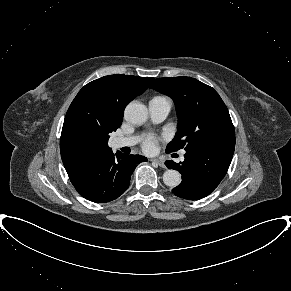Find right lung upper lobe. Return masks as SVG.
Listing matches in <instances>:
<instances>
[{
    "label": "right lung upper lobe",
    "instance_id": "1",
    "mask_svg": "<svg viewBox=\"0 0 291 291\" xmlns=\"http://www.w3.org/2000/svg\"><path fill=\"white\" fill-rule=\"evenodd\" d=\"M152 80L109 75L79 91L66 113L60 139L61 158L72 184L112 153L109 134L120 127L126 105L145 92Z\"/></svg>",
    "mask_w": 291,
    "mask_h": 291
}]
</instances>
